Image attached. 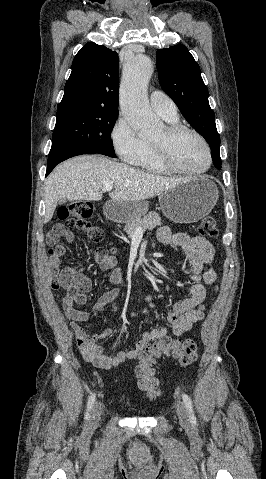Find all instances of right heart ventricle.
Returning a JSON list of instances; mask_svg holds the SVG:
<instances>
[{
	"mask_svg": "<svg viewBox=\"0 0 266 479\" xmlns=\"http://www.w3.org/2000/svg\"><path fill=\"white\" fill-rule=\"evenodd\" d=\"M169 124L178 122V118H164ZM145 152L142 157L135 163L143 171L154 174H166L169 171L159 161L152 140H145Z\"/></svg>",
	"mask_w": 266,
	"mask_h": 479,
	"instance_id": "1",
	"label": "right heart ventricle"
}]
</instances>
